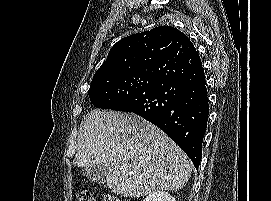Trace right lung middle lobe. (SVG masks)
Wrapping results in <instances>:
<instances>
[{
    "instance_id": "right-lung-middle-lobe-1",
    "label": "right lung middle lobe",
    "mask_w": 271,
    "mask_h": 201,
    "mask_svg": "<svg viewBox=\"0 0 271 201\" xmlns=\"http://www.w3.org/2000/svg\"><path fill=\"white\" fill-rule=\"evenodd\" d=\"M152 80V71H129L93 78L88 94L95 107L118 111L126 101L146 91Z\"/></svg>"
}]
</instances>
